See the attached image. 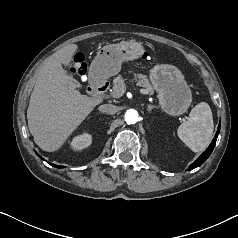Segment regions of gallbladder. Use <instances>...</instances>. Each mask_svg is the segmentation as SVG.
Segmentation results:
<instances>
[{
    "label": "gallbladder",
    "mask_w": 238,
    "mask_h": 238,
    "mask_svg": "<svg viewBox=\"0 0 238 238\" xmlns=\"http://www.w3.org/2000/svg\"><path fill=\"white\" fill-rule=\"evenodd\" d=\"M76 85H77V87H78V86H79V83L77 82V84H76Z\"/></svg>",
    "instance_id": "bac80fb5"
}]
</instances>
